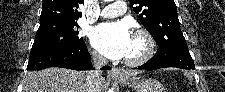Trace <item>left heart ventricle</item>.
<instances>
[{"instance_id": "obj_1", "label": "left heart ventricle", "mask_w": 225, "mask_h": 92, "mask_svg": "<svg viewBox=\"0 0 225 92\" xmlns=\"http://www.w3.org/2000/svg\"><path fill=\"white\" fill-rule=\"evenodd\" d=\"M143 52H144L143 43L140 40L133 37L130 50L126 58H138L140 55H142Z\"/></svg>"}]
</instances>
